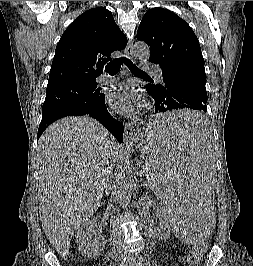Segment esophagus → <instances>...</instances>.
<instances>
[{
	"label": "esophagus",
	"mask_w": 253,
	"mask_h": 266,
	"mask_svg": "<svg viewBox=\"0 0 253 266\" xmlns=\"http://www.w3.org/2000/svg\"><path fill=\"white\" fill-rule=\"evenodd\" d=\"M126 53L130 59H134L133 42L131 40L128 41ZM136 134L137 133L134 125L130 122H126L124 124V140L126 142H130L136 137Z\"/></svg>",
	"instance_id": "esophagus-1"
}]
</instances>
